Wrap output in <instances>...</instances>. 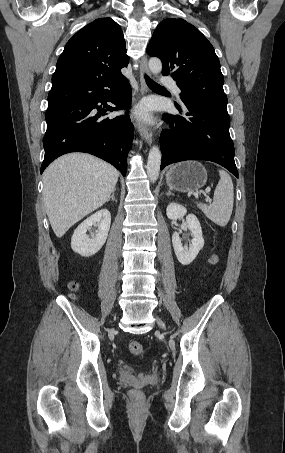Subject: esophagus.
<instances>
[{
    "mask_svg": "<svg viewBox=\"0 0 285 453\" xmlns=\"http://www.w3.org/2000/svg\"><path fill=\"white\" fill-rule=\"evenodd\" d=\"M149 74V68H148V63H147V57L143 56L140 61V85H141V94L144 95L146 94L149 90L146 85L144 76ZM137 130L139 134L145 139L147 144H151L152 142V133L149 130V128L143 124L142 122L137 123Z\"/></svg>",
    "mask_w": 285,
    "mask_h": 453,
    "instance_id": "34e87169",
    "label": "esophagus"
}]
</instances>
